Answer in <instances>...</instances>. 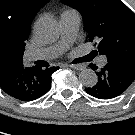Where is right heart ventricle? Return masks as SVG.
Here are the masks:
<instances>
[{
  "label": "right heart ventricle",
  "instance_id": "e07e8e85",
  "mask_svg": "<svg viewBox=\"0 0 135 135\" xmlns=\"http://www.w3.org/2000/svg\"><path fill=\"white\" fill-rule=\"evenodd\" d=\"M66 12H73L72 10L66 11Z\"/></svg>",
  "mask_w": 135,
  "mask_h": 135
}]
</instances>
